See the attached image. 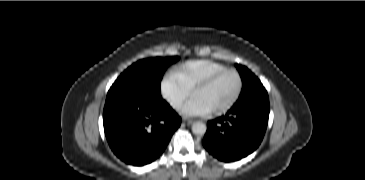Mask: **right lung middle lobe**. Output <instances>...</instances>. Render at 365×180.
I'll use <instances>...</instances> for the list:
<instances>
[{
  "label": "right lung middle lobe",
  "instance_id": "right-lung-middle-lobe-1",
  "mask_svg": "<svg viewBox=\"0 0 365 180\" xmlns=\"http://www.w3.org/2000/svg\"><path fill=\"white\" fill-rule=\"evenodd\" d=\"M179 57L143 59L126 69L113 83L106 100L131 92L161 94L160 83L166 68Z\"/></svg>",
  "mask_w": 365,
  "mask_h": 180
}]
</instances>
